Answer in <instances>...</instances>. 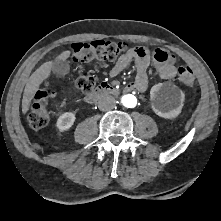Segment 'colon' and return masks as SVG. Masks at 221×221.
<instances>
[{"instance_id": "obj_1", "label": "colon", "mask_w": 221, "mask_h": 221, "mask_svg": "<svg viewBox=\"0 0 221 221\" xmlns=\"http://www.w3.org/2000/svg\"><path fill=\"white\" fill-rule=\"evenodd\" d=\"M125 42L93 41L91 43H76L72 45V57L75 62H89L92 60H115L127 52ZM178 80L187 87L195 85V76L188 67L178 69ZM95 77L91 73L77 77L75 85L85 94H90L95 87ZM53 94L48 85L41 86L33 95L32 105L28 114V121L32 128L41 129L50 120Z\"/></svg>"}]
</instances>
